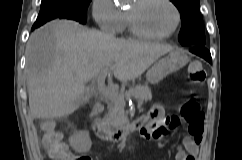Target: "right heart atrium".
<instances>
[{
    "label": "right heart atrium",
    "instance_id": "right-heart-atrium-1",
    "mask_svg": "<svg viewBox=\"0 0 242 160\" xmlns=\"http://www.w3.org/2000/svg\"><path fill=\"white\" fill-rule=\"evenodd\" d=\"M92 16L102 31L110 35L122 31L124 14L113 0H92Z\"/></svg>",
    "mask_w": 242,
    "mask_h": 160
}]
</instances>
